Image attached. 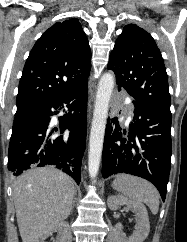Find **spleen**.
Here are the masks:
<instances>
[{"label":"spleen","instance_id":"1","mask_svg":"<svg viewBox=\"0 0 187 242\" xmlns=\"http://www.w3.org/2000/svg\"><path fill=\"white\" fill-rule=\"evenodd\" d=\"M112 186L122 192L126 198L145 203L153 214L158 213L160 196L150 182L136 176L120 174L113 181Z\"/></svg>","mask_w":187,"mask_h":242}]
</instances>
